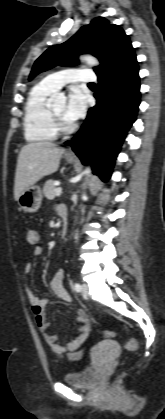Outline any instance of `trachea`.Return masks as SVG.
I'll list each match as a JSON object with an SVG mask.
<instances>
[{
    "mask_svg": "<svg viewBox=\"0 0 165 419\" xmlns=\"http://www.w3.org/2000/svg\"><path fill=\"white\" fill-rule=\"evenodd\" d=\"M89 85H94V83H89Z\"/></svg>",
    "mask_w": 165,
    "mask_h": 419,
    "instance_id": "trachea-1",
    "label": "trachea"
}]
</instances>
